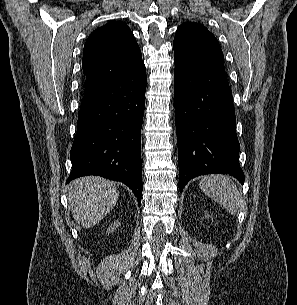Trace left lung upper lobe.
<instances>
[{"instance_id": "obj_1", "label": "left lung upper lobe", "mask_w": 297, "mask_h": 305, "mask_svg": "<svg viewBox=\"0 0 297 305\" xmlns=\"http://www.w3.org/2000/svg\"><path fill=\"white\" fill-rule=\"evenodd\" d=\"M173 48L175 64L189 73L225 72L223 52L216 37L199 23H182Z\"/></svg>"}]
</instances>
